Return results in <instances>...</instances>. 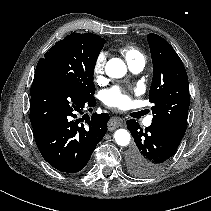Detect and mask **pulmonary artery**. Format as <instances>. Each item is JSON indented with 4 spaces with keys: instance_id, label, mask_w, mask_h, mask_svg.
Segmentation results:
<instances>
[{
    "instance_id": "1",
    "label": "pulmonary artery",
    "mask_w": 211,
    "mask_h": 211,
    "mask_svg": "<svg viewBox=\"0 0 211 211\" xmlns=\"http://www.w3.org/2000/svg\"><path fill=\"white\" fill-rule=\"evenodd\" d=\"M129 69L133 72V73H140L145 66V60L144 59H139L137 61H134L132 63H129ZM152 123V117H148L144 124L145 126H150Z\"/></svg>"
}]
</instances>
